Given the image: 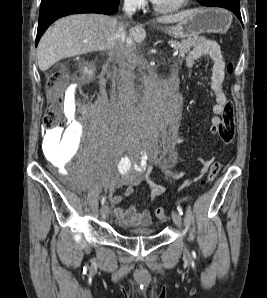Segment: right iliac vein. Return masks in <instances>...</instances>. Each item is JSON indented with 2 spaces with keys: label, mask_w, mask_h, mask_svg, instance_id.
<instances>
[{
  "label": "right iliac vein",
  "mask_w": 267,
  "mask_h": 298,
  "mask_svg": "<svg viewBox=\"0 0 267 298\" xmlns=\"http://www.w3.org/2000/svg\"><path fill=\"white\" fill-rule=\"evenodd\" d=\"M100 215L102 217V219H107L109 216V208L108 206L105 204L101 207L100 209Z\"/></svg>",
  "instance_id": "1"
}]
</instances>
